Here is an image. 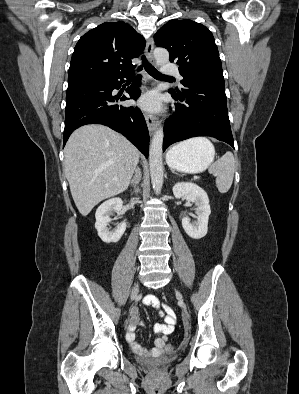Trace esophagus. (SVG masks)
Returning a JSON list of instances; mask_svg holds the SVG:
<instances>
[{"label": "esophagus", "instance_id": "obj_1", "mask_svg": "<svg viewBox=\"0 0 299 394\" xmlns=\"http://www.w3.org/2000/svg\"><path fill=\"white\" fill-rule=\"evenodd\" d=\"M153 48H154V41L150 38L146 44L145 53L146 57L149 61H153ZM144 117L147 123V127L150 133H153L155 128L158 125L157 119L154 115L149 113H144Z\"/></svg>", "mask_w": 299, "mask_h": 394}]
</instances>
